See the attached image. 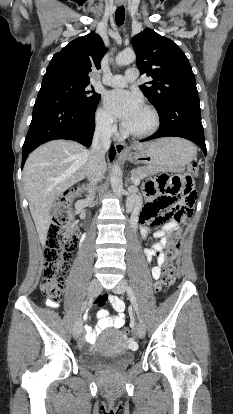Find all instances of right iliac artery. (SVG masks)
Wrapping results in <instances>:
<instances>
[{
	"label": "right iliac artery",
	"instance_id": "right-iliac-artery-1",
	"mask_svg": "<svg viewBox=\"0 0 233 414\" xmlns=\"http://www.w3.org/2000/svg\"><path fill=\"white\" fill-rule=\"evenodd\" d=\"M92 300H90L89 302L85 301L83 306H82V311H84L86 309V306L89 305L91 303Z\"/></svg>",
	"mask_w": 233,
	"mask_h": 414
}]
</instances>
